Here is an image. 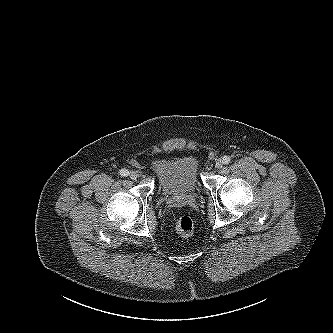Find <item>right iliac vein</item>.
<instances>
[{
    "instance_id": "1",
    "label": "right iliac vein",
    "mask_w": 333,
    "mask_h": 333,
    "mask_svg": "<svg viewBox=\"0 0 333 333\" xmlns=\"http://www.w3.org/2000/svg\"><path fill=\"white\" fill-rule=\"evenodd\" d=\"M137 173L136 172H134V171H131L130 173H129V177L132 179V180H136L137 179Z\"/></svg>"
}]
</instances>
